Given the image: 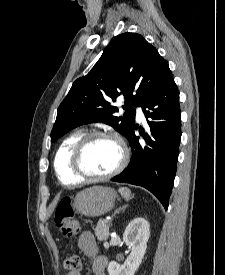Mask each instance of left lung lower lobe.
I'll use <instances>...</instances> for the list:
<instances>
[{"label":"left lung lower lobe","instance_id":"1","mask_svg":"<svg viewBox=\"0 0 225 275\" xmlns=\"http://www.w3.org/2000/svg\"><path fill=\"white\" fill-rule=\"evenodd\" d=\"M140 106L148 121V133L140 130L145 140L139 143L134 125L126 134L132 149L128 167L112 180L142 186L168 208L176 174L181 138L179 91L170 69L145 95ZM146 108L148 110H146Z\"/></svg>","mask_w":225,"mask_h":275}]
</instances>
